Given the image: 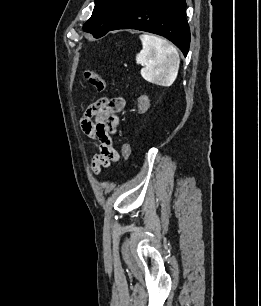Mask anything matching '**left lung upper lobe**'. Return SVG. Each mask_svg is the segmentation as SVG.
Masks as SVG:
<instances>
[{
    "instance_id": "5c2ea615",
    "label": "left lung upper lobe",
    "mask_w": 261,
    "mask_h": 306,
    "mask_svg": "<svg viewBox=\"0 0 261 306\" xmlns=\"http://www.w3.org/2000/svg\"><path fill=\"white\" fill-rule=\"evenodd\" d=\"M133 0H95L91 18L83 30L95 38L105 35L121 18Z\"/></svg>"
}]
</instances>
